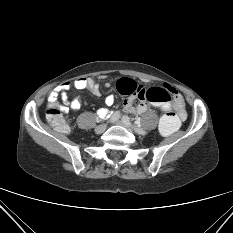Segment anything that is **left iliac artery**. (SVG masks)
Here are the masks:
<instances>
[{"instance_id": "obj_1", "label": "left iliac artery", "mask_w": 233, "mask_h": 233, "mask_svg": "<svg viewBox=\"0 0 233 233\" xmlns=\"http://www.w3.org/2000/svg\"><path fill=\"white\" fill-rule=\"evenodd\" d=\"M122 120L125 121V124H126V125H128V126L131 127L132 129H134L135 131H137V132H139V133H142V134H144V135H147V134H148V131H147V130L142 129L141 127L136 126L135 123H132V122L130 121V119H129L128 116H126V115L123 116V117H122Z\"/></svg>"}]
</instances>
